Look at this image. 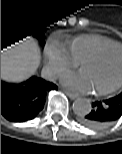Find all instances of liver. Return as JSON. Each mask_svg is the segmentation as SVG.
Returning <instances> with one entry per match:
<instances>
[{
    "mask_svg": "<svg viewBox=\"0 0 122 154\" xmlns=\"http://www.w3.org/2000/svg\"><path fill=\"white\" fill-rule=\"evenodd\" d=\"M40 64L35 42L27 36L1 50V79L20 82L32 76Z\"/></svg>",
    "mask_w": 122,
    "mask_h": 154,
    "instance_id": "1",
    "label": "liver"
}]
</instances>
